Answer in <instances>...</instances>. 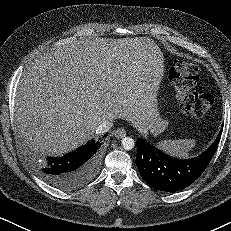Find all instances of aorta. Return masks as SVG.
<instances>
[{
    "instance_id": "obj_1",
    "label": "aorta",
    "mask_w": 231,
    "mask_h": 231,
    "mask_svg": "<svg viewBox=\"0 0 231 231\" xmlns=\"http://www.w3.org/2000/svg\"><path fill=\"white\" fill-rule=\"evenodd\" d=\"M121 145L125 150H132L135 146V142L131 137H125L122 139Z\"/></svg>"
}]
</instances>
